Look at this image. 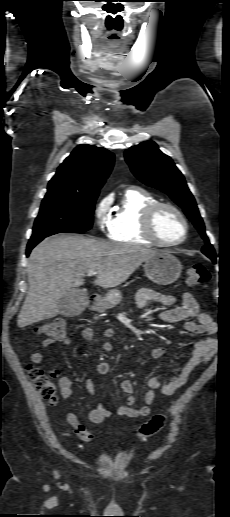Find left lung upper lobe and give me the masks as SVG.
<instances>
[{
  "mask_svg": "<svg viewBox=\"0 0 230 517\" xmlns=\"http://www.w3.org/2000/svg\"><path fill=\"white\" fill-rule=\"evenodd\" d=\"M125 159L133 174L141 182L166 193L184 210L206 241L202 252L215 262V251L206 236L204 223L195 199L173 160L162 153L153 141H145L127 149Z\"/></svg>",
  "mask_w": 230,
  "mask_h": 517,
  "instance_id": "1",
  "label": "left lung upper lobe"
}]
</instances>
